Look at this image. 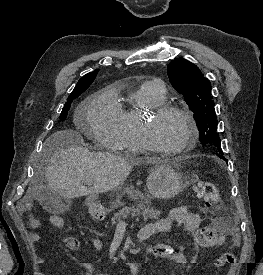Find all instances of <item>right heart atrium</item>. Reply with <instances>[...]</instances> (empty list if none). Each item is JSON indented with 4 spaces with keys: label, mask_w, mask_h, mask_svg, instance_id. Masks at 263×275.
<instances>
[{
    "label": "right heart atrium",
    "mask_w": 263,
    "mask_h": 275,
    "mask_svg": "<svg viewBox=\"0 0 263 275\" xmlns=\"http://www.w3.org/2000/svg\"><path fill=\"white\" fill-rule=\"evenodd\" d=\"M87 119L93 137L110 149L120 148L118 104L113 91L100 92L90 103Z\"/></svg>",
    "instance_id": "d8ad5b80"
}]
</instances>
